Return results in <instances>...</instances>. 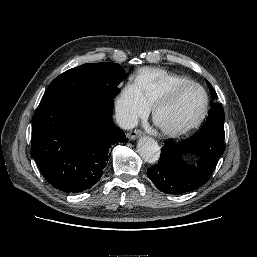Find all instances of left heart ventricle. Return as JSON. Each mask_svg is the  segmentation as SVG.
<instances>
[{
  "label": "left heart ventricle",
  "mask_w": 257,
  "mask_h": 257,
  "mask_svg": "<svg viewBox=\"0 0 257 257\" xmlns=\"http://www.w3.org/2000/svg\"><path fill=\"white\" fill-rule=\"evenodd\" d=\"M204 106V95L197 87L181 91L172 102L158 113L159 121L168 128H176L193 122Z\"/></svg>",
  "instance_id": "obj_1"
}]
</instances>
